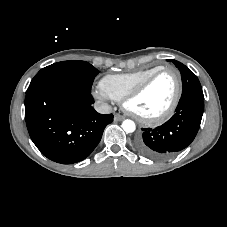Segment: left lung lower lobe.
<instances>
[{
    "label": "left lung lower lobe",
    "mask_w": 227,
    "mask_h": 227,
    "mask_svg": "<svg viewBox=\"0 0 227 227\" xmlns=\"http://www.w3.org/2000/svg\"><path fill=\"white\" fill-rule=\"evenodd\" d=\"M204 95L189 92L181 96L176 113L163 125L142 128L135 147L142 155L164 160L186 148L194 140L202 119Z\"/></svg>",
    "instance_id": "1"
}]
</instances>
